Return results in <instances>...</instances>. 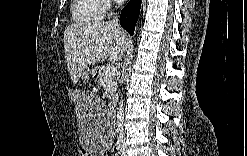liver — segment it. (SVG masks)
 <instances>
[{
    "instance_id": "6515ba94",
    "label": "liver",
    "mask_w": 247,
    "mask_h": 156,
    "mask_svg": "<svg viewBox=\"0 0 247 156\" xmlns=\"http://www.w3.org/2000/svg\"><path fill=\"white\" fill-rule=\"evenodd\" d=\"M129 38L111 22H85L68 26L64 32V52L71 80L76 84L90 64L119 61L127 49Z\"/></svg>"
}]
</instances>
